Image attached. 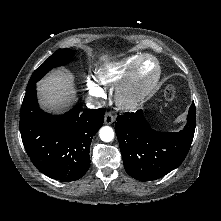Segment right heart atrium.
Here are the masks:
<instances>
[{
	"instance_id": "1",
	"label": "right heart atrium",
	"mask_w": 221,
	"mask_h": 221,
	"mask_svg": "<svg viewBox=\"0 0 221 221\" xmlns=\"http://www.w3.org/2000/svg\"><path fill=\"white\" fill-rule=\"evenodd\" d=\"M87 86H88V90L89 92L97 97H101L102 96V91L101 89L90 79L87 80Z\"/></svg>"
}]
</instances>
